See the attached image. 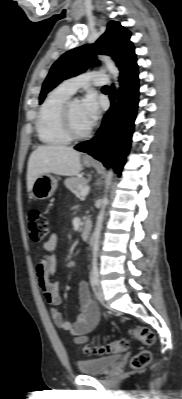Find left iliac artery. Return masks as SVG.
<instances>
[{
    "label": "left iliac artery",
    "instance_id": "44dca946",
    "mask_svg": "<svg viewBox=\"0 0 182 399\" xmlns=\"http://www.w3.org/2000/svg\"><path fill=\"white\" fill-rule=\"evenodd\" d=\"M91 277L93 284L97 286L99 284V271L97 268H93Z\"/></svg>",
    "mask_w": 182,
    "mask_h": 399
}]
</instances>
